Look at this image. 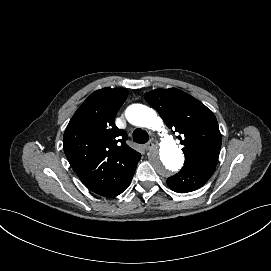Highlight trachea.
Segmentation results:
<instances>
[{
	"label": "trachea",
	"instance_id": "1",
	"mask_svg": "<svg viewBox=\"0 0 271 271\" xmlns=\"http://www.w3.org/2000/svg\"><path fill=\"white\" fill-rule=\"evenodd\" d=\"M132 138L135 143L144 144L149 140V135L145 130L137 128L133 131Z\"/></svg>",
	"mask_w": 271,
	"mask_h": 271
}]
</instances>
